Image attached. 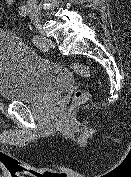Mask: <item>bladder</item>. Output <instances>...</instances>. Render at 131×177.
Returning a JSON list of instances; mask_svg holds the SVG:
<instances>
[{
	"label": "bladder",
	"mask_w": 131,
	"mask_h": 177,
	"mask_svg": "<svg viewBox=\"0 0 131 177\" xmlns=\"http://www.w3.org/2000/svg\"><path fill=\"white\" fill-rule=\"evenodd\" d=\"M74 82L69 69L25 46L13 31H0V98L33 103L60 94Z\"/></svg>",
	"instance_id": "31cf9c89"
}]
</instances>
